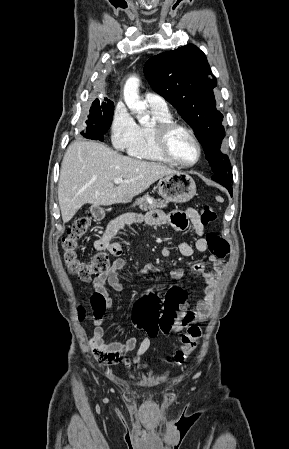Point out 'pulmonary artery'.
<instances>
[{"label":"pulmonary artery","mask_w":289,"mask_h":449,"mask_svg":"<svg viewBox=\"0 0 289 449\" xmlns=\"http://www.w3.org/2000/svg\"><path fill=\"white\" fill-rule=\"evenodd\" d=\"M145 101L146 103L152 107V108H156V109H167V103L164 100V98H162L160 95L155 94V93H151V92H147L145 93Z\"/></svg>","instance_id":"pulmonary-artery-1"}]
</instances>
